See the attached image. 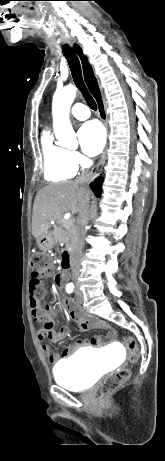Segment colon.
Wrapping results in <instances>:
<instances>
[{
	"label": "colon",
	"instance_id": "1",
	"mask_svg": "<svg viewBox=\"0 0 165 461\" xmlns=\"http://www.w3.org/2000/svg\"><path fill=\"white\" fill-rule=\"evenodd\" d=\"M31 269L30 291L39 301L45 294L41 280L51 275L53 271L49 257L44 254H36L32 258ZM124 344L128 350L130 362H137L139 359V348L136 340L133 337L127 336L124 338ZM130 375L131 373L128 369H120L107 376L101 384V396L105 397L118 390L130 378Z\"/></svg>",
	"mask_w": 165,
	"mask_h": 461
}]
</instances>
